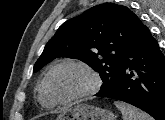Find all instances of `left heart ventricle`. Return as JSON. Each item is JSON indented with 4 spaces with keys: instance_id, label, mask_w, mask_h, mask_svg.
I'll return each instance as SVG.
<instances>
[{
    "instance_id": "left-heart-ventricle-1",
    "label": "left heart ventricle",
    "mask_w": 165,
    "mask_h": 120,
    "mask_svg": "<svg viewBox=\"0 0 165 120\" xmlns=\"http://www.w3.org/2000/svg\"><path fill=\"white\" fill-rule=\"evenodd\" d=\"M90 84L89 75L75 66H64L57 69L49 81L52 93L60 99L73 97L86 90Z\"/></svg>"
}]
</instances>
